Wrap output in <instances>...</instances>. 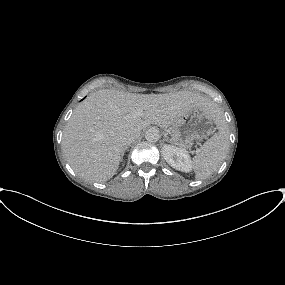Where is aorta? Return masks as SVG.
Listing matches in <instances>:
<instances>
[{"mask_svg":"<svg viewBox=\"0 0 285 285\" xmlns=\"http://www.w3.org/2000/svg\"><path fill=\"white\" fill-rule=\"evenodd\" d=\"M160 138L159 131L156 128H150L145 133V139L148 142H157Z\"/></svg>","mask_w":285,"mask_h":285,"instance_id":"obj_1","label":"aorta"}]
</instances>
